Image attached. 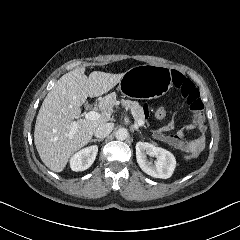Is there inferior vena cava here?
I'll list each match as a JSON object with an SVG mask.
<instances>
[{
	"label": "inferior vena cava",
	"mask_w": 240,
	"mask_h": 240,
	"mask_svg": "<svg viewBox=\"0 0 240 240\" xmlns=\"http://www.w3.org/2000/svg\"><path fill=\"white\" fill-rule=\"evenodd\" d=\"M113 127H114L113 123L101 124L95 129L94 135L97 138L104 139L112 132Z\"/></svg>",
	"instance_id": "inferior-vena-cava-1"
}]
</instances>
